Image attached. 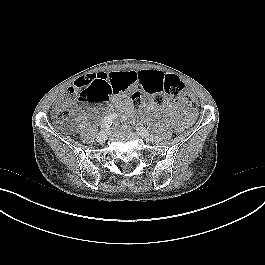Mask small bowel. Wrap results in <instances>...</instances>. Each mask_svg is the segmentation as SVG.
Here are the masks:
<instances>
[{
    "label": "small bowel",
    "instance_id": "1",
    "mask_svg": "<svg viewBox=\"0 0 265 265\" xmlns=\"http://www.w3.org/2000/svg\"><path fill=\"white\" fill-rule=\"evenodd\" d=\"M167 74L159 70H141V71H127V72H111L98 73L89 77H100L105 80L107 85L111 88L114 97L112 104L118 108L130 111L132 105L129 102L121 101L120 96L124 95L133 87L139 86L146 92H150L160 85ZM179 105L175 102L167 100L161 107H157L153 103L148 104L146 110L149 113H166L169 116L176 114ZM88 117V114H81L76 122L83 123Z\"/></svg>",
    "mask_w": 265,
    "mask_h": 265
}]
</instances>
